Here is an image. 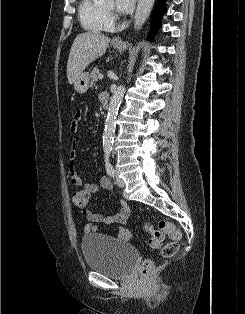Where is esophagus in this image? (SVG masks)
Returning <instances> with one entry per match:
<instances>
[{
    "label": "esophagus",
    "instance_id": "obj_1",
    "mask_svg": "<svg viewBox=\"0 0 245 314\" xmlns=\"http://www.w3.org/2000/svg\"><path fill=\"white\" fill-rule=\"evenodd\" d=\"M113 43H115V44H120V43H122V38H121V37H116V38H114V39H113Z\"/></svg>",
    "mask_w": 245,
    "mask_h": 314
}]
</instances>
